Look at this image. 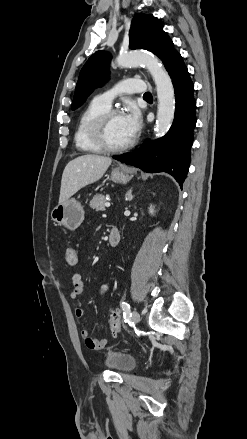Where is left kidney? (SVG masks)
I'll return each instance as SVG.
<instances>
[{
  "label": "left kidney",
  "mask_w": 247,
  "mask_h": 439,
  "mask_svg": "<svg viewBox=\"0 0 247 439\" xmlns=\"http://www.w3.org/2000/svg\"><path fill=\"white\" fill-rule=\"evenodd\" d=\"M149 213H150V214H154V207H152V205H151L150 208H149Z\"/></svg>",
  "instance_id": "left-kidney-1"
}]
</instances>
